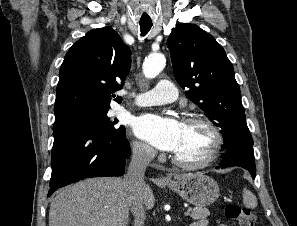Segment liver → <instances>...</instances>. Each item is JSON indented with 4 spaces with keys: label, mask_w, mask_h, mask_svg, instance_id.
<instances>
[{
    "label": "liver",
    "mask_w": 297,
    "mask_h": 226,
    "mask_svg": "<svg viewBox=\"0 0 297 226\" xmlns=\"http://www.w3.org/2000/svg\"><path fill=\"white\" fill-rule=\"evenodd\" d=\"M190 174L175 175L183 179ZM143 205L152 209L155 197L148 185ZM129 205L123 178H92L61 191L52 201L49 226H127Z\"/></svg>",
    "instance_id": "6515ba94"
}]
</instances>
